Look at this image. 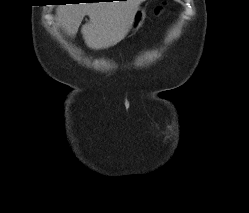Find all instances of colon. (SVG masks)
Listing matches in <instances>:
<instances>
[{
  "instance_id": "5ec220e1",
  "label": "colon",
  "mask_w": 249,
  "mask_h": 213,
  "mask_svg": "<svg viewBox=\"0 0 249 213\" xmlns=\"http://www.w3.org/2000/svg\"><path fill=\"white\" fill-rule=\"evenodd\" d=\"M155 12H156L157 14L163 12V7H162V6L157 7L156 10H155Z\"/></svg>"
}]
</instances>
